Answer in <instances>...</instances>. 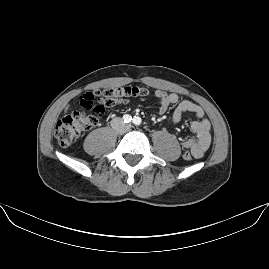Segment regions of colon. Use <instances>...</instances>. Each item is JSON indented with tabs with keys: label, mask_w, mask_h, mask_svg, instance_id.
Returning a JSON list of instances; mask_svg holds the SVG:
<instances>
[{
	"label": "colon",
	"mask_w": 269,
	"mask_h": 269,
	"mask_svg": "<svg viewBox=\"0 0 269 269\" xmlns=\"http://www.w3.org/2000/svg\"><path fill=\"white\" fill-rule=\"evenodd\" d=\"M147 95L149 90L146 87L134 85L95 92L86 90L81 98V103L86 105L85 110L72 112L60 118L55 126V137L61 145H72L83 133L98 126L105 108L123 103L132 97ZM183 157L186 161L194 158L189 151L184 152Z\"/></svg>",
	"instance_id": "1"
}]
</instances>
